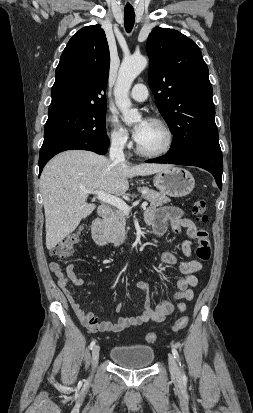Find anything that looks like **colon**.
Wrapping results in <instances>:
<instances>
[{
	"label": "colon",
	"instance_id": "colon-1",
	"mask_svg": "<svg viewBox=\"0 0 253 413\" xmlns=\"http://www.w3.org/2000/svg\"><path fill=\"white\" fill-rule=\"evenodd\" d=\"M192 212L197 222L205 224L208 221L207 204L204 199L198 198L195 200L192 207ZM195 237L198 242L196 249L197 257L203 262L209 261L211 258V242L209 239L208 231L205 228H199L195 233ZM80 238V231H74L70 233L51 249V254L60 258H66L70 256L73 251L74 245H76L80 241ZM187 323V316L180 317L172 326V331L177 332L182 330L187 325ZM157 338V334L153 332L149 333L146 336V339L149 343L155 342Z\"/></svg>",
	"mask_w": 253,
	"mask_h": 413
}]
</instances>
